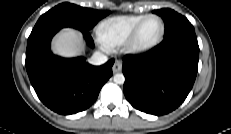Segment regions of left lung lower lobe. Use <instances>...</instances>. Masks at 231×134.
Wrapping results in <instances>:
<instances>
[{"mask_svg": "<svg viewBox=\"0 0 231 134\" xmlns=\"http://www.w3.org/2000/svg\"><path fill=\"white\" fill-rule=\"evenodd\" d=\"M199 59L194 30L164 38L144 56L123 59L124 94L136 109L164 115L180 106L193 87Z\"/></svg>", "mask_w": 231, "mask_h": 134, "instance_id": "1", "label": "left lung lower lobe"}]
</instances>
